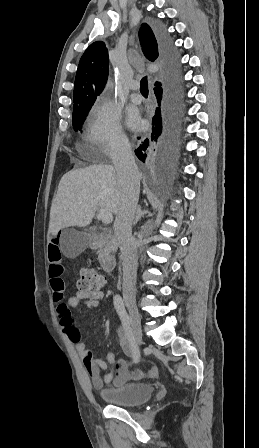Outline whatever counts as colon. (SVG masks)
<instances>
[{
  "label": "colon",
  "mask_w": 259,
  "mask_h": 448,
  "mask_svg": "<svg viewBox=\"0 0 259 448\" xmlns=\"http://www.w3.org/2000/svg\"><path fill=\"white\" fill-rule=\"evenodd\" d=\"M105 279L93 268H86L81 272L77 289L84 294L96 295L101 293Z\"/></svg>",
  "instance_id": "colon-1"
}]
</instances>
